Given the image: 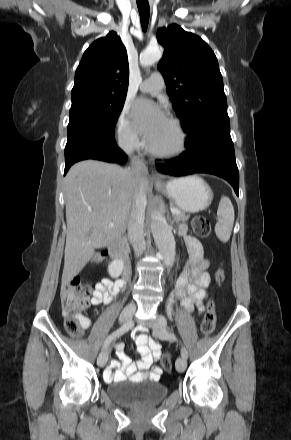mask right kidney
I'll return each mask as SVG.
<instances>
[{"mask_svg": "<svg viewBox=\"0 0 291 440\" xmlns=\"http://www.w3.org/2000/svg\"><path fill=\"white\" fill-rule=\"evenodd\" d=\"M124 268V263L120 259L113 260L108 266V272L112 278H118Z\"/></svg>", "mask_w": 291, "mask_h": 440, "instance_id": "ca27d5eb", "label": "right kidney"}]
</instances>
